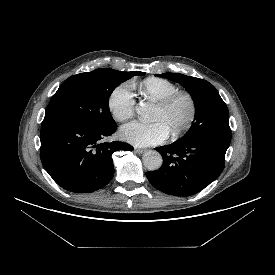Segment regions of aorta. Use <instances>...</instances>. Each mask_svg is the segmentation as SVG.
I'll return each instance as SVG.
<instances>
[{"label":"aorta","instance_id":"aorta-1","mask_svg":"<svg viewBox=\"0 0 275 275\" xmlns=\"http://www.w3.org/2000/svg\"><path fill=\"white\" fill-rule=\"evenodd\" d=\"M152 111L153 107L149 103H141L136 108V112L141 120H147L151 116ZM162 162L161 154L155 150H149L143 155L144 166L150 171L158 170Z\"/></svg>","mask_w":275,"mask_h":275}]
</instances>
